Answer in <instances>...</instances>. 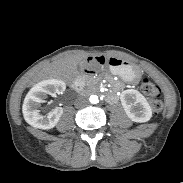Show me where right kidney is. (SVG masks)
<instances>
[{
	"label": "right kidney",
	"instance_id": "right-kidney-1",
	"mask_svg": "<svg viewBox=\"0 0 183 183\" xmlns=\"http://www.w3.org/2000/svg\"><path fill=\"white\" fill-rule=\"evenodd\" d=\"M65 83L58 79H49L36 84L26 95L22 111L25 121L39 129H52L56 126L63 114L62 107H56L47 116L42 115L39 108L45 103L48 94L62 93ZM54 92V93H53Z\"/></svg>",
	"mask_w": 183,
	"mask_h": 183
}]
</instances>
